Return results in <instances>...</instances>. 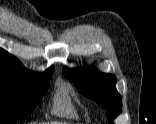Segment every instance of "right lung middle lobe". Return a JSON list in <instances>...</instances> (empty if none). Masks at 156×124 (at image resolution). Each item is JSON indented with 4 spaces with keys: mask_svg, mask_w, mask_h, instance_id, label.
<instances>
[{
    "mask_svg": "<svg viewBox=\"0 0 156 124\" xmlns=\"http://www.w3.org/2000/svg\"><path fill=\"white\" fill-rule=\"evenodd\" d=\"M50 76L0 75V124H13L33 112L48 91Z\"/></svg>",
    "mask_w": 156,
    "mask_h": 124,
    "instance_id": "obj_1",
    "label": "right lung middle lobe"
}]
</instances>
